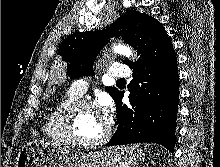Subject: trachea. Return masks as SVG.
I'll return each mask as SVG.
<instances>
[{"mask_svg":"<svg viewBox=\"0 0 220 167\" xmlns=\"http://www.w3.org/2000/svg\"><path fill=\"white\" fill-rule=\"evenodd\" d=\"M118 82H125V79L121 78V79L118 80Z\"/></svg>","mask_w":220,"mask_h":167,"instance_id":"trachea-1","label":"trachea"}]
</instances>
